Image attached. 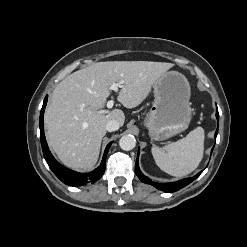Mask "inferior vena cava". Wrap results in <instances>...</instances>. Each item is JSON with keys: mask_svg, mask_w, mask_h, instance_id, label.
Returning <instances> with one entry per match:
<instances>
[{"mask_svg": "<svg viewBox=\"0 0 247 247\" xmlns=\"http://www.w3.org/2000/svg\"><path fill=\"white\" fill-rule=\"evenodd\" d=\"M105 128L108 132H113L120 128V123L117 120H110L106 123Z\"/></svg>", "mask_w": 247, "mask_h": 247, "instance_id": "obj_1", "label": "inferior vena cava"}]
</instances>
